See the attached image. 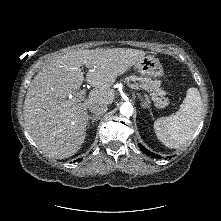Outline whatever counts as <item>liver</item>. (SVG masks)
Segmentation results:
<instances>
[{"instance_id": "liver-1", "label": "liver", "mask_w": 221, "mask_h": 221, "mask_svg": "<svg viewBox=\"0 0 221 221\" xmlns=\"http://www.w3.org/2000/svg\"><path fill=\"white\" fill-rule=\"evenodd\" d=\"M146 53L138 49L112 48L72 50L45 65L32 80L24 101L27 132L49 157L64 159L82 146L88 119L87 109L95 102L114 100L116 78L127 72ZM94 89L84 102H75L84 76Z\"/></svg>"}]
</instances>
